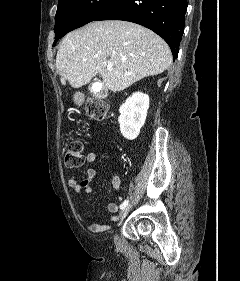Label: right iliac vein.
<instances>
[{"label": "right iliac vein", "instance_id": "63e3f726", "mask_svg": "<svg viewBox=\"0 0 240 281\" xmlns=\"http://www.w3.org/2000/svg\"><path fill=\"white\" fill-rule=\"evenodd\" d=\"M130 208H131V206H127V207L123 208V209L120 211V213H119L120 222H119V223H121V221L127 216V214L129 213ZM114 239H115V243H116L117 245H120V244H121V240H120V238H119L118 235H115V238H114Z\"/></svg>", "mask_w": 240, "mask_h": 281}]
</instances>
